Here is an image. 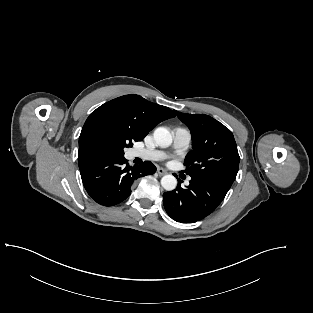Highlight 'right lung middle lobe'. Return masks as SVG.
I'll return each instance as SVG.
<instances>
[{
	"label": "right lung middle lobe",
	"instance_id": "right-lung-middle-lobe-1",
	"mask_svg": "<svg viewBox=\"0 0 313 313\" xmlns=\"http://www.w3.org/2000/svg\"><path fill=\"white\" fill-rule=\"evenodd\" d=\"M135 140L125 132L117 134L107 150V156L124 157V148L132 147Z\"/></svg>",
	"mask_w": 313,
	"mask_h": 313
}]
</instances>
